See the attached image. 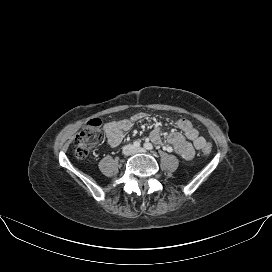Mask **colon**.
Returning <instances> with one entry per match:
<instances>
[{
	"label": "colon",
	"instance_id": "obj_1",
	"mask_svg": "<svg viewBox=\"0 0 272 272\" xmlns=\"http://www.w3.org/2000/svg\"><path fill=\"white\" fill-rule=\"evenodd\" d=\"M103 141L101 121L99 119L90 120L79 131L75 138V154L78 158H87ZM212 151L211 144H206L203 148L205 154Z\"/></svg>",
	"mask_w": 272,
	"mask_h": 272
}]
</instances>
